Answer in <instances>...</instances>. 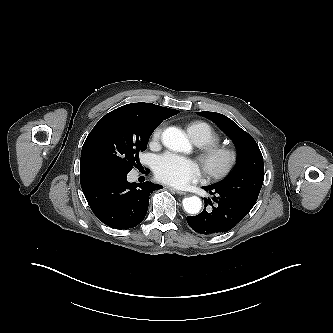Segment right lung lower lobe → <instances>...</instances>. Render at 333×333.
Masks as SVG:
<instances>
[{
    "label": "right lung lower lobe",
    "mask_w": 333,
    "mask_h": 333,
    "mask_svg": "<svg viewBox=\"0 0 333 333\" xmlns=\"http://www.w3.org/2000/svg\"><path fill=\"white\" fill-rule=\"evenodd\" d=\"M128 173L99 172L80 176L85 198L96 217L115 229L140 224L148 210L149 195L161 185L129 183Z\"/></svg>",
    "instance_id": "98d812e1"
}]
</instances>
